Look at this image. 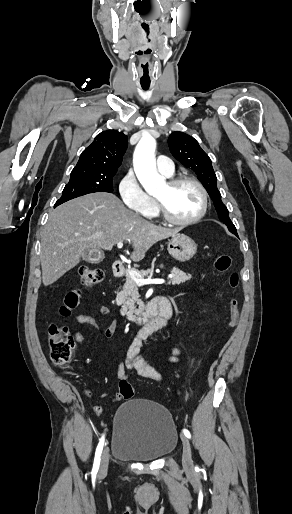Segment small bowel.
<instances>
[{"mask_svg": "<svg viewBox=\"0 0 292 514\" xmlns=\"http://www.w3.org/2000/svg\"><path fill=\"white\" fill-rule=\"evenodd\" d=\"M109 312H110V310L107 305L99 306V313L102 316H107L109 314ZM172 316H173V311H172V315L169 318H165V319L161 320L160 326L168 327L170 325V320H171ZM75 322L79 325H88V326H92L95 328L98 327L96 319L94 317H92L90 315H86V314H81V315L76 316ZM115 331H116V324L112 323L104 329L103 336L105 338H110L114 335ZM72 337H73L74 341L78 344H84L87 341L86 335L78 330L73 331ZM136 352H137V350H135V349L129 351L127 360H126V363L131 364L132 370L135 371L140 377H143L146 379H151V380H157V381L161 380L162 376L155 367H153L152 365H150L143 359H135L134 358ZM179 353H180V348L172 347L170 361L176 362L177 356ZM116 375H117V379L119 380L120 383H123V382L128 383L127 382L128 374L126 372L125 362L120 361L117 364ZM100 396L102 398H106V400L114 401V404H117V402H121L124 400V397L121 396V393L119 391H116L115 393H112V392L107 393L106 391H102L100 393ZM107 396H109V397H107Z\"/></svg>", "mask_w": 292, "mask_h": 514, "instance_id": "small-bowel-1", "label": "small bowel"}]
</instances>
